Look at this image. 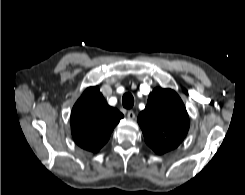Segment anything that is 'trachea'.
<instances>
[{
  "label": "trachea",
  "mask_w": 245,
  "mask_h": 195,
  "mask_svg": "<svg viewBox=\"0 0 245 195\" xmlns=\"http://www.w3.org/2000/svg\"><path fill=\"white\" fill-rule=\"evenodd\" d=\"M123 107L126 109H130L134 105V98L131 93H125L122 97Z\"/></svg>",
  "instance_id": "3493384b"
}]
</instances>
